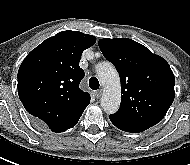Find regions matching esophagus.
<instances>
[{
    "instance_id": "esophagus-1",
    "label": "esophagus",
    "mask_w": 190,
    "mask_h": 165,
    "mask_svg": "<svg viewBox=\"0 0 190 165\" xmlns=\"http://www.w3.org/2000/svg\"><path fill=\"white\" fill-rule=\"evenodd\" d=\"M94 94H95V96H96L97 98H99V97L101 96V94H102V90H101V89L96 90V91L94 92Z\"/></svg>"
}]
</instances>
